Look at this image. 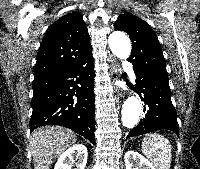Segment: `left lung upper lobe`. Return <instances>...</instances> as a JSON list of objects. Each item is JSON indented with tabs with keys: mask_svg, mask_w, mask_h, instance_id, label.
Masks as SVG:
<instances>
[{
	"mask_svg": "<svg viewBox=\"0 0 200 169\" xmlns=\"http://www.w3.org/2000/svg\"><path fill=\"white\" fill-rule=\"evenodd\" d=\"M114 28L125 31L132 41L129 61L133 67L148 70L156 76L168 79L161 46L146 21L126 12L117 18Z\"/></svg>",
	"mask_w": 200,
	"mask_h": 169,
	"instance_id": "1",
	"label": "left lung upper lobe"
}]
</instances>
